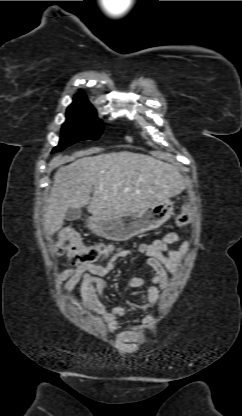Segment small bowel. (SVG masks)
I'll return each mask as SVG.
<instances>
[{"label":"small bowel","mask_w":242,"mask_h":416,"mask_svg":"<svg viewBox=\"0 0 242 416\" xmlns=\"http://www.w3.org/2000/svg\"><path fill=\"white\" fill-rule=\"evenodd\" d=\"M170 244H179V247L172 249L169 247ZM187 250V242L178 233L171 232L151 243L140 244L136 251L119 250L105 264L74 266L70 263H63L64 271L58 277V286L63 290V299L67 300L75 287L80 285L83 307L86 310L97 311L119 343H129L134 341L140 332L137 329L120 328L118 319L125 314L126 310L122 306L113 308L106 306L103 298L105 292L103 278L115 270L116 262L119 259L129 257L135 252L145 254V263L154 271V275L152 284L148 286L138 305V309L144 312L158 302L161 293L168 287L169 276L179 271ZM144 285L145 281L142 278L130 280L131 287L138 288ZM150 322L149 317L142 319L144 325H148Z\"/></svg>","instance_id":"1"}]
</instances>
